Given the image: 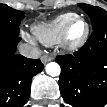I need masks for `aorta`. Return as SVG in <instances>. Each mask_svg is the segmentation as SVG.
<instances>
[{"mask_svg": "<svg viewBox=\"0 0 107 107\" xmlns=\"http://www.w3.org/2000/svg\"><path fill=\"white\" fill-rule=\"evenodd\" d=\"M46 73L52 77L60 75L61 68L58 63L50 62L45 67Z\"/></svg>", "mask_w": 107, "mask_h": 107, "instance_id": "aorta-1", "label": "aorta"}]
</instances>
